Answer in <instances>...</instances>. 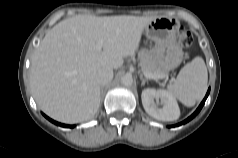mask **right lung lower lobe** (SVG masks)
<instances>
[{"instance_id":"1","label":"right lung lower lobe","mask_w":238,"mask_h":158,"mask_svg":"<svg viewBox=\"0 0 238 158\" xmlns=\"http://www.w3.org/2000/svg\"><path fill=\"white\" fill-rule=\"evenodd\" d=\"M49 121H51L52 123L56 124V125H59V126H62V127H69V128H73L74 125H65V124H61V123H58L52 119H50L49 117L45 116Z\"/></svg>"}]
</instances>
